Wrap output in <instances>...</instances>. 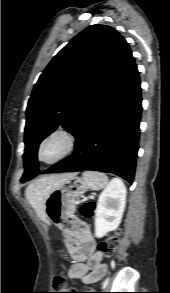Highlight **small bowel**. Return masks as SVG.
Listing matches in <instances>:
<instances>
[{
  "label": "small bowel",
  "instance_id": "1",
  "mask_svg": "<svg viewBox=\"0 0 170 293\" xmlns=\"http://www.w3.org/2000/svg\"><path fill=\"white\" fill-rule=\"evenodd\" d=\"M67 248L70 255L77 260L68 270L70 279L80 280L84 284L100 281L107 273V266L102 256L94 251L92 244H85L77 236L67 237Z\"/></svg>",
  "mask_w": 170,
  "mask_h": 293
}]
</instances>
